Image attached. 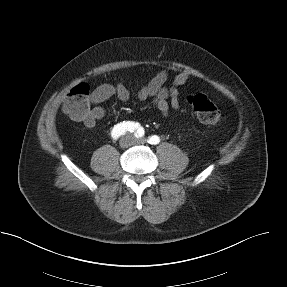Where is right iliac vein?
Masks as SVG:
<instances>
[{
    "label": "right iliac vein",
    "mask_w": 287,
    "mask_h": 287,
    "mask_svg": "<svg viewBox=\"0 0 287 287\" xmlns=\"http://www.w3.org/2000/svg\"><path fill=\"white\" fill-rule=\"evenodd\" d=\"M131 143L132 137L130 135H126L120 140V146L122 148H127L128 146H130Z\"/></svg>",
    "instance_id": "63e3f726"
}]
</instances>
